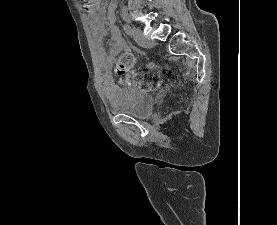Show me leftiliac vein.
I'll list each match as a JSON object with an SVG mask.
<instances>
[{
    "instance_id": "obj_1",
    "label": "left iliac vein",
    "mask_w": 277,
    "mask_h": 225,
    "mask_svg": "<svg viewBox=\"0 0 277 225\" xmlns=\"http://www.w3.org/2000/svg\"><path fill=\"white\" fill-rule=\"evenodd\" d=\"M132 36L135 40V42L142 47H152L154 45V42L151 41L149 38L145 37L143 35V32L139 28H133L132 29Z\"/></svg>"
}]
</instances>
